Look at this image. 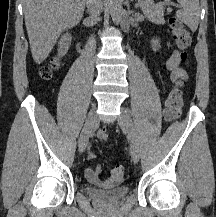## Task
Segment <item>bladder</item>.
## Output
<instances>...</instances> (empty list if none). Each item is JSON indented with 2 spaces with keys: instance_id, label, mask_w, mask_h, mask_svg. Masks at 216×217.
<instances>
[{
  "instance_id": "obj_1",
  "label": "bladder",
  "mask_w": 216,
  "mask_h": 217,
  "mask_svg": "<svg viewBox=\"0 0 216 217\" xmlns=\"http://www.w3.org/2000/svg\"><path fill=\"white\" fill-rule=\"evenodd\" d=\"M85 193L100 203L112 204L124 199L129 194V188L126 185H118L112 189L98 190L92 186H86Z\"/></svg>"
}]
</instances>
